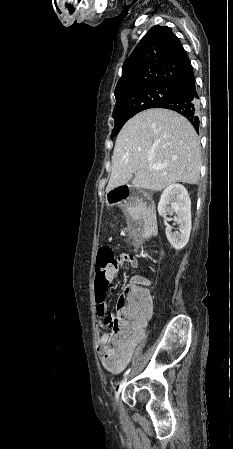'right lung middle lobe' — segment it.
Returning <instances> with one entry per match:
<instances>
[{
	"instance_id": "1",
	"label": "right lung middle lobe",
	"mask_w": 233,
	"mask_h": 449,
	"mask_svg": "<svg viewBox=\"0 0 233 449\" xmlns=\"http://www.w3.org/2000/svg\"><path fill=\"white\" fill-rule=\"evenodd\" d=\"M175 96L176 91L173 86L153 85L116 98V106L113 110L115 127L111 138L116 136L127 120L135 114L149 108H155L160 103Z\"/></svg>"
}]
</instances>
